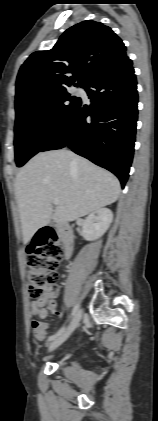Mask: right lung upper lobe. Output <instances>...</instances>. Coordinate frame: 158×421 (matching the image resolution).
Masks as SVG:
<instances>
[{
    "label": "right lung upper lobe",
    "mask_w": 158,
    "mask_h": 421,
    "mask_svg": "<svg viewBox=\"0 0 158 421\" xmlns=\"http://www.w3.org/2000/svg\"><path fill=\"white\" fill-rule=\"evenodd\" d=\"M126 52L110 27L86 20L67 29L48 51L32 53L16 81L15 105L72 85L84 87L106 64Z\"/></svg>",
    "instance_id": "1"
}]
</instances>
